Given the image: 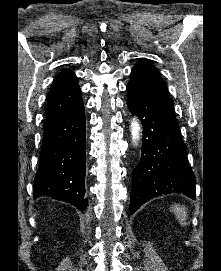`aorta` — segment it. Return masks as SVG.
I'll use <instances>...</instances> for the list:
<instances>
[{
	"label": "aorta",
	"mask_w": 221,
	"mask_h": 271,
	"mask_svg": "<svg viewBox=\"0 0 221 271\" xmlns=\"http://www.w3.org/2000/svg\"><path fill=\"white\" fill-rule=\"evenodd\" d=\"M130 127H131L132 140L134 141V143H137L141 135V125L139 123V120L136 118H132Z\"/></svg>",
	"instance_id": "aorta-1"
}]
</instances>
